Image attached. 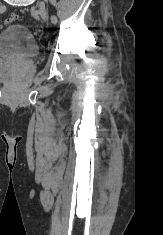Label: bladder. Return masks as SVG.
Masks as SVG:
<instances>
[{"label":"bladder","mask_w":163,"mask_h":235,"mask_svg":"<svg viewBox=\"0 0 163 235\" xmlns=\"http://www.w3.org/2000/svg\"><path fill=\"white\" fill-rule=\"evenodd\" d=\"M39 49L30 30L23 24H11L0 31V57L31 60Z\"/></svg>","instance_id":"bladder-1"}]
</instances>
